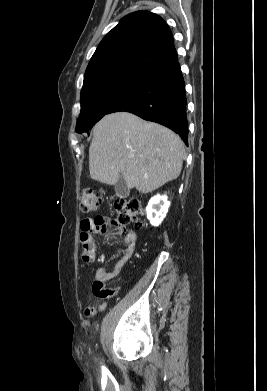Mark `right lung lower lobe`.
<instances>
[{
	"label": "right lung lower lobe",
	"instance_id": "98d812e1",
	"mask_svg": "<svg viewBox=\"0 0 267 391\" xmlns=\"http://www.w3.org/2000/svg\"><path fill=\"white\" fill-rule=\"evenodd\" d=\"M118 111L162 124L179 134L188 145L185 83L178 59L154 71L143 85L109 113Z\"/></svg>",
	"mask_w": 267,
	"mask_h": 391
}]
</instances>
